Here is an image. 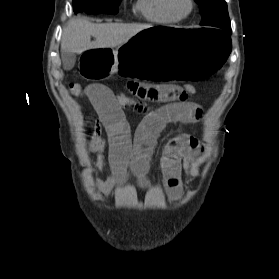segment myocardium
Wrapping results in <instances>:
<instances>
[{
  "label": "myocardium",
  "instance_id": "obj_1",
  "mask_svg": "<svg viewBox=\"0 0 279 279\" xmlns=\"http://www.w3.org/2000/svg\"><path fill=\"white\" fill-rule=\"evenodd\" d=\"M166 1V9L168 11V13L176 20H182V19H186L187 17H189L194 9H195V1L194 0H188L189 2V9L186 13L181 14L175 11L174 9V2L175 0H165Z\"/></svg>",
  "mask_w": 279,
  "mask_h": 279
}]
</instances>
